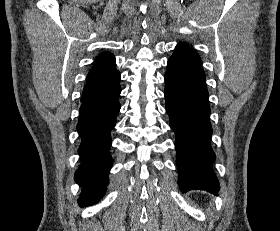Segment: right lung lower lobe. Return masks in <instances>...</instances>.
<instances>
[{"label": "right lung lower lobe", "instance_id": "98d812e1", "mask_svg": "<svg viewBox=\"0 0 280 231\" xmlns=\"http://www.w3.org/2000/svg\"><path fill=\"white\" fill-rule=\"evenodd\" d=\"M120 85L90 98H81L77 131L81 138L78 153L81 165L75 181L83 187L78 199L82 207L92 205L106 191L113 160L110 155V132L120 110Z\"/></svg>", "mask_w": 280, "mask_h": 231}]
</instances>
